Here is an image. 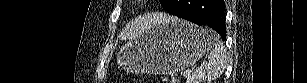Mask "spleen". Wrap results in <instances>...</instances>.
Wrapping results in <instances>:
<instances>
[{"label": "spleen", "mask_w": 307, "mask_h": 83, "mask_svg": "<svg viewBox=\"0 0 307 83\" xmlns=\"http://www.w3.org/2000/svg\"><path fill=\"white\" fill-rule=\"evenodd\" d=\"M207 34L213 48L211 47L212 50L208 55V60L192 70L187 83H210L218 78L226 68V50L219 40V36L210 29H208Z\"/></svg>", "instance_id": "obj_1"}]
</instances>
